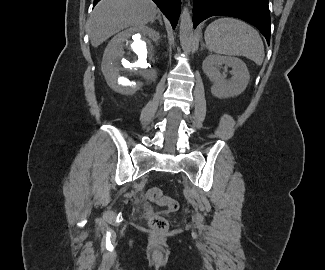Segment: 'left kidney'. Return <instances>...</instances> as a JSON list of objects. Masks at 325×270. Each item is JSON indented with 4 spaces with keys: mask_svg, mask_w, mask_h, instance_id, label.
Returning a JSON list of instances; mask_svg holds the SVG:
<instances>
[{
    "mask_svg": "<svg viewBox=\"0 0 325 270\" xmlns=\"http://www.w3.org/2000/svg\"><path fill=\"white\" fill-rule=\"evenodd\" d=\"M230 67L232 77L226 79L220 73V66ZM202 69L213 82L211 93L217 98H229L240 95L247 87L250 75L246 64L235 57L211 54L205 58Z\"/></svg>",
    "mask_w": 325,
    "mask_h": 270,
    "instance_id": "left-kidney-1",
    "label": "left kidney"
}]
</instances>
